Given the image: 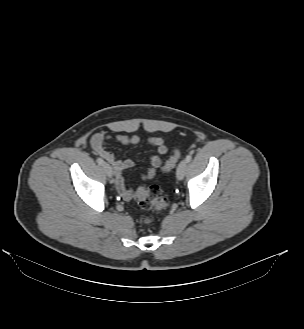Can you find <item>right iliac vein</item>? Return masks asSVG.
I'll use <instances>...</instances> for the list:
<instances>
[{
  "instance_id": "right-iliac-vein-1",
  "label": "right iliac vein",
  "mask_w": 304,
  "mask_h": 329,
  "mask_svg": "<svg viewBox=\"0 0 304 329\" xmlns=\"http://www.w3.org/2000/svg\"><path fill=\"white\" fill-rule=\"evenodd\" d=\"M102 166H103V169H104L106 175L111 178L113 176V171H112V168L110 167V165L107 163H103Z\"/></svg>"
}]
</instances>
